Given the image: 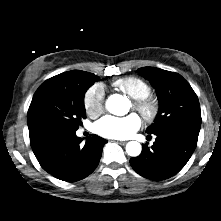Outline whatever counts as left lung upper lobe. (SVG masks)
Segmentation results:
<instances>
[{"label": "left lung upper lobe", "mask_w": 221, "mask_h": 221, "mask_svg": "<svg viewBox=\"0 0 221 221\" xmlns=\"http://www.w3.org/2000/svg\"><path fill=\"white\" fill-rule=\"evenodd\" d=\"M136 72L151 82L159 99V112L154 124L146 130L147 133L157 132L173 124H185L200 129L201 110L198 97L181 75L156 67H142Z\"/></svg>", "instance_id": "obj_1"}]
</instances>
